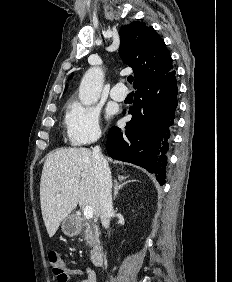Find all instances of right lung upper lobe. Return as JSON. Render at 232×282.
Returning a JSON list of instances; mask_svg holds the SVG:
<instances>
[{"label": "right lung upper lobe", "mask_w": 232, "mask_h": 282, "mask_svg": "<svg viewBox=\"0 0 232 282\" xmlns=\"http://www.w3.org/2000/svg\"><path fill=\"white\" fill-rule=\"evenodd\" d=\"M120 39L119 55L123 62L133 69L134 87L146 80L163 76L172 70L169 51L152 26L136 21L122 26ZM72 75L69 79L72 78ZM66 88L67 85L65 91Z\"/></svg>", "instance_id": "obj_1"}]
</instances>
